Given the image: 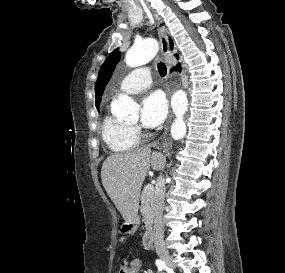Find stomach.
<instances>
[{
  "label": "stomach",
  "mask_w": 285,
  "mask_h": 273,
  "mask_svg": "<svg viewBox=\"0 0 285 273\" xmlns=\"http://www.w3.org/2000/svg\"><path fill=\"white\" fill-rule=\"evenodd\" d=\"M138 223H139V219L136 218L135 220H133L132 222H125L121 229H122V232L124 233H130L132 231H134L137 226H138Z\"/></svg>",
  "instance_id": "stomach-1"
}]
</instances>
